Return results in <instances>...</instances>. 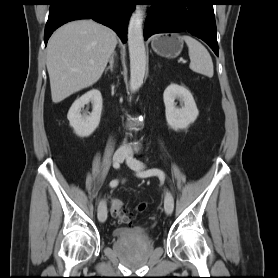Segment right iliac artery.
<instances>
[{"mask_svg": "<svg viewBox=\"0 0 278 278\" xmlns=\"http://www.w3.org/2000/svg\"><path fill=\"white\" fill-rule=\"evenodd\" d=\"M113 167L117 169V168H119V164H118V163H114V164H113ZM117 184H118L117 180H112V181L110 182V186H111V187H115Z\"/></svg>", "mask_w": 278, "mask_h": 278, "instance_id": "right-iliac-artery-1", "label": "right iliac artery"}]
</instances>
